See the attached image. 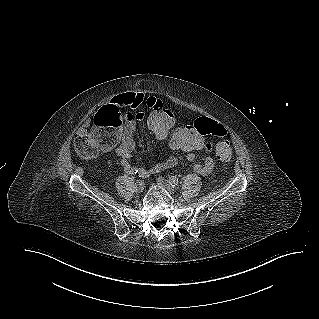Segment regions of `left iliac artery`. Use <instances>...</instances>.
<instances>
[{
    "label": "left iliac artery",
    "mask_w": 319,
    "mask_h": 319,
    "mask_svg": "<svg viewBox=\"0 0 319 319\" xmlns=\"http://www.w3.org/2000/svg\"><path fill=\"white\" fill-rule=\"evenodd\" d=\"M169 183L171 186L176 187L179 184L178 178L175 176L169 177Z\"/></svg>",
    "instance_id": "left-iliac-artery-1"
}]
</instances>
